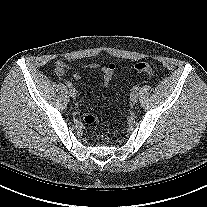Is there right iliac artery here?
Returning a JSON list of instances; mask_svg holds the SVG:
<instances>
[{"label":"right iliac artery","instance_id":"obj_1","mask_svg":"<svg viewBox=\"0 0 207 207\" xmlns=\"http://www.w3.org/2000/svg\"><path fill=\"white\" fill-rule=\"evenodd\" d=\"M66 85H67V87H69V88L72 87V83H70V82H67Z\"/></svg>","mask_w":207,"mask_h":207}]
</instances>
